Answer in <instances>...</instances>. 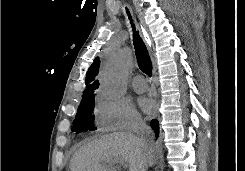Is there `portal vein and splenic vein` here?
Masks as SVG:
<instances>
[{
    "label": "portal vein and splenic vein",
    "instance_id": "obj_1",
    "mask_svg": "<svg viewBox=\"0 0 245 171\" xmlns=\"http://www.w3.org/2000/svg\"><path fill=\"white\" fill-rule=\"evenodd\" d=\"M109 164H122L124 165V161L121 160V159H113V160H110V161H107Z\"/></svg>",
    "mask_w": 245,
    "mask_h": 171
}]
</instances>
